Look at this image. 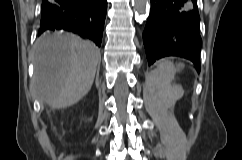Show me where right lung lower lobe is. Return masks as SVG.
Instances as JSON below:
<instances>
[{
    "label": "right lung lower lobe",
    "instance_id": "right-lung-lower-lobe-1",
    "mask_svg": "<svg viewBox=\"0 0 242 160\" xmlns=\"http://www.w3.org/2000/svg\"><path fill=\"white\" fill-rule=\"evenodd\" d=\"M107 0H43L39 35L65 30L101 46Z\"/></svg>",
    "mask_w": 242,
    "mask_h": 160
}]
</instances>
